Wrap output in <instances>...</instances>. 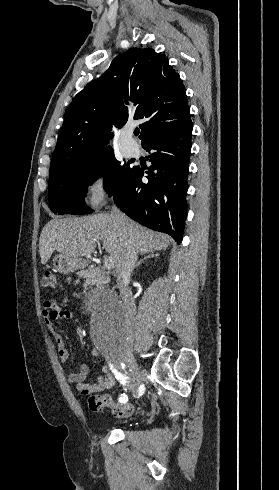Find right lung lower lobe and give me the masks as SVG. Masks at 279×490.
<instances>
[{
	"instance_id": "98d812e1",
	"label": "right lung lower lobe",
	"mask_w": 279,
	"mask_h": 490,
	"mask_svg": "<svg viewBox=\"0 0 279 490\" xmlns=\"http://www.w3.org/2000/svg\"><path fill=\"white\" fill-rule=\"evenodd\" d=\"M193 123L167 135L145 141L152 166L142 182L143 170L133 167L114 194V201L129 217L171 235L179 244L187 214V177Z\"/></svg>"
}]
</instances>
